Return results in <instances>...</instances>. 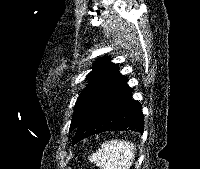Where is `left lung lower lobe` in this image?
Masks as SVG:
<instances>
[{"label":"left lung lower lobe","instance_id":"1","mask_svg":"<svg viewBox=\"0 0 200 169\" xmlns=\"http://www.w3.org/2000/svg\"><path fill=\"white\" fill-rule=\"evenodd\" d=\"M142 106L132 98V89L122 84L99 100L76 128L72 145L93 134L105 131H137L144 127Z\"/></svg>","mask_w":200,"mask_h":169}]
</instances>
